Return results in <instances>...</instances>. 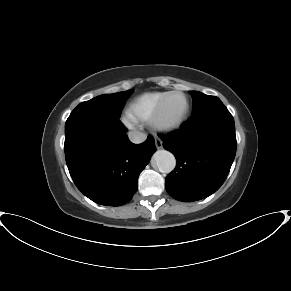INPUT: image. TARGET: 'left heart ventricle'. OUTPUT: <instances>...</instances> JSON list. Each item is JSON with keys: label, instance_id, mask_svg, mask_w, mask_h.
<instances>
[{"label": "left heart ventricle", "instance_id": "obj_1", "mask_svg": "<svg viewBox=\"0 0 291 291\" xmlns=\"http://www.w3.org/2000/svg\"><path fill=\"white\" fill-rule=\"evenodd\" d=\"M186 99L182 95L171 97L163 111L162 121L166 124L179 122L185 115Z\"/></svg>", "mask_w": 291, "mask_h": 291}]
</instances>
